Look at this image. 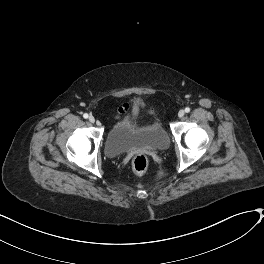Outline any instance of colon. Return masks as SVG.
Here are the masks:
<instances>
[{
  "instance_id": "obj_1",
  "label": "colon",
  "mask_w": 264,
  "mask_h": 264,
  "mask_svg": "<svg viewBox=\"0 0 264 264\" xmlns=\"http://www.w3.org/2000/svg\"><path fill=\"white\" fill-rule=\"evenodd\" d=\"M148 158L144 154H138L132 161L133 171L137 174H142L147 170Z\"/></svg>"
}]
</instances>
